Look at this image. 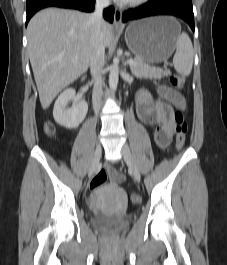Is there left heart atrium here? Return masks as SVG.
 I'll list each match as a JSON object with an SVG mask.
<instances>
[{
  "label": "left heart atrium",
  "instance_id": "obj_1",
  "mask_svg": "<svg viewBox=\"0 0 227 265\" xmlns=\"http://www.w3.org/2000/svg\"><path fill=\"white\" fill-rule=\"evenodd\" d=\"M117 1H120V2H126V1H128V0H117Z\"/></svg>",
  "mask_w": 227,
  "mask_h": 265
}]
</instances>
